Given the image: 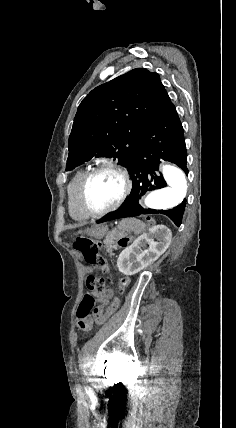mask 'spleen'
<instances>
[{
  "label": "spleen",
  "instance_id": "spleen-1",
  "mask_svg": "<svg viewBox=\"0 0 236 428\" xmlns=\"http://www.w3.org/2000/svg\"><path fill=\"white\" fill-rule=\"evenodd\" d=\"M119 230H124V232H134V234H142L145 230L144 222L141 220H136V218H124L118 226Z\"/></svg>",
  "mask_w": 236,
  "mask_h": 428
}]
</instances>
